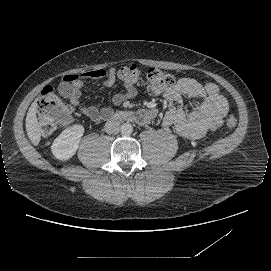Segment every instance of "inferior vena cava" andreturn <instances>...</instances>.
Instances as JSON below:
<instances>
[{
    "mask_svg": "<svg viewBox=\"0 0 271 271\" xmlns=\"http://www.w3.org/2000/svg\"><path fill=\"white\" fill-rule=\"evenodd\" d=\"M121 130L120 121L116 118H112L105 124V131L108 134H118Z\"/></svg>",
    "mask_w": 271,
    "mask_h": 271,
    "instance_id": "602c4592",
    "label": "inferior vena cava"
}]
</instances>
